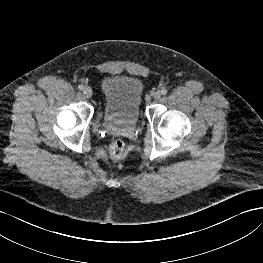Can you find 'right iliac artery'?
Segmentation results:
<instances>
[{"mask_svg": "<svg viewBox=\"0 0 263 263\" xmlns=\"http://www.w3.org/2000/svg\"><path fill=\"white\" fill-rule=\"evenodd\" d=\"M78 89H79V90H83V89H84V86H83V85H79V86H78Z\"/></svg>", "mask_w": 263, "mask_h": 263, "instance_id": "obj_1", "label": "right iliac artery"}]
</instances>
